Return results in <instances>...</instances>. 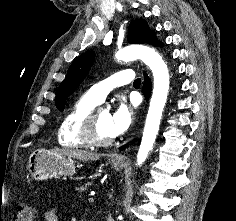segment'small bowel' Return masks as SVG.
<instances>
[{
  "label": "small bowel",
  "instance_id": "small-bowel-1",
  "mask_svg": "<svg viewBox=\"0 0 236 221\" xmlns=\"http://www.w3.org/2000/svg\"><path fill=\"white\" fill-rule=\"evenodd\" d=\"M44 221H59L58 210L56 208H50L44 213Z\"/></svg>",
  "mask_w": 236,
  "mask_h": 221
}]
</instances>
